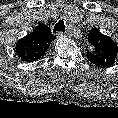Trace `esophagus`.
Segmentation results:
<instances>
[{
	"mask_svg": "<svg viewBox=\"0 0 118 118\" xmlns=\"http://www.w3.org/2000/svg\"><path fill=\"white\" fill-rule=\"evenodd\" d=\"M56 35H57L58 37L68 36V35H69V32H65V33L57 32Z\"/></svg>",
	"mask_w": 118,
	"mask_h": 118,
	"instance_id": "esophagus-1",
	"label": "esophagus"
}]
</instances>
